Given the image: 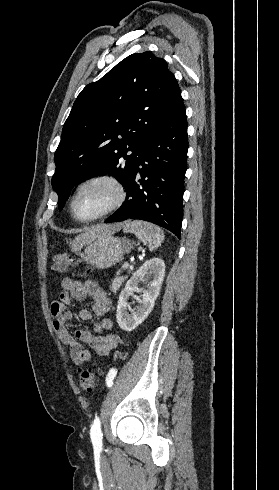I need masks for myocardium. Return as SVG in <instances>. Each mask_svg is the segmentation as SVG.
I'll use <instances>...</instances> for the list:
<instances>
[{
    "label": "myocardium",
    "mask_w": 279,
    "mask_h": 490,
    "mask_svg": "<svg viewBox=\"0 0 279 490\" xmlns=\"http://www.w3.org/2000/svg\"><path fill=\"white\" fill-rule=\"evenodd\" d=\"M91 184H102L109 187L113 192V197L105 206L91 216L79 217L75 212V203L82 190ZM126 197L127 192L125 186L117 176L109 172L94 173L84 177L76 184L70 198L69 209L74 220L79 223H89L117 210L124 203Z\"/></svg>",
    "instance_id": "myocardium-1"
}]
</instances>
